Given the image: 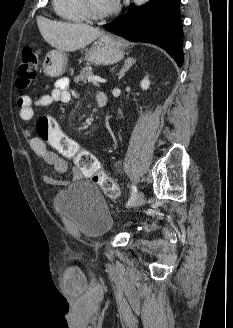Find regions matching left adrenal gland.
Wrapping results in <instances>:
<instances>
[{
	"mask_svg": "<svg viewBox=\"0 0 233 328\" xmlns=\"http://www.w3.org/2000/svg\"><path fill=\"white\" fill-rule=\"evenodd\" d=\"M136 63V59L134 58H127L124 62V65L120 69V72L118 73V80L124 77L125 73Z\"/></svg>",
	"mask_w": 233,
	"mask_h": 328,
	"instance_id": "a2214340",
	"label": "left adrenal gland"
}]
</instances>
